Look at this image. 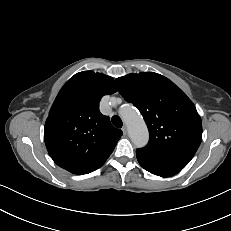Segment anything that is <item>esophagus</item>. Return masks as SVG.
<instances>
[{
	"instance_id": "obj_1",
	"label": "esophagus",
	"mask_w": 231,
	"mask_h": 231,
	"mask_svg": "<svg viewBox=\"0 0 231 231\" xmlns=\"http://www.w3.org/2000/svg\"><path fill=\"white\" fill-rule=\"evenodd\" d=\"M122 131H123V133L126 135L127 134V127H126V125H124L123 127H122Z\"/></svg>"
}]
</instances>
